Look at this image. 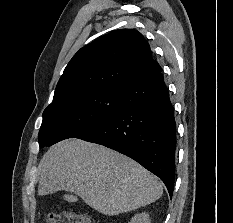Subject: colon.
<instances>
[{
    "mask_svg": "<svg viewBox=\"0 0 233 223\" xmlns=\"http://www.w3.org/2000/svg\"><path fill=\"white\" fill-rule=\"evenodd\" d=\"M47 223H93L85 214L64 211L61 214L49 213Z\"/></svg>",
    "mask_w": 233,
    "mask_h": 223,
    "instance_id": "obj_1",
    "label": "colon"
}]
</instances>
